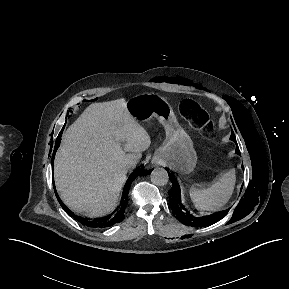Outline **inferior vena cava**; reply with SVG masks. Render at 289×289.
I'll return each instance as SVG.
<instances>
[{"mask_svg": "<svg viewBox=\"0 0 289 289\" xmlns=\"http://www.w3.org/2000/svg\"><path fill=\"white\" fill-rule=\"evenodd\" d=\"M136 163H137V162H136L135 160H131V161L128 162L127 165H128L129 167H131V166H134Z\"/></svg>", "mask_w": 289, "mask_h": 289, "instance_id": "inferior-vena-cava-1", "label": "inferior vena cava"}]
</instances>
